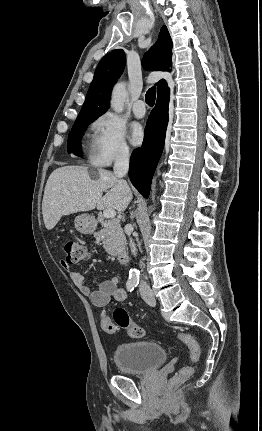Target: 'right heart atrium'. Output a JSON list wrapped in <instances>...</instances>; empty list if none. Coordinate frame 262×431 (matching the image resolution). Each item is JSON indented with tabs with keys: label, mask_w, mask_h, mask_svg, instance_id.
<instances>
[{
	"label": "right heart atrium",
	"mask_w": 262,
	"mask_h": 431,
	"mask_svg": "<svg viewBox=\"0 0 262 431\" xmlns=\"http://www.w3.org/2000/svg\"><path fill=\"white\" fill-rule=\"evenodd\" d=\"M129 155L130 148L121 122L110 113L99 116L92 124L91 161L106 166L114 160L128 158Z\"/></svg>",
	"instance_id": "d8ad5b80"
}]
</instances>
